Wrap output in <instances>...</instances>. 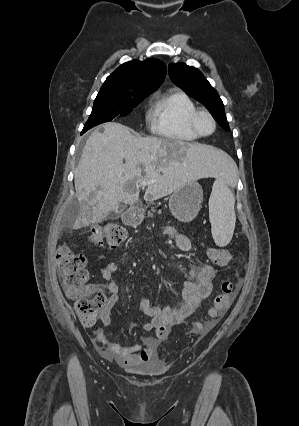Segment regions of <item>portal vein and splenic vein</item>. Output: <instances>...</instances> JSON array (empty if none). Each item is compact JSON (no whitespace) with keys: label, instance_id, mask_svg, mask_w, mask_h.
Instances as JSON below:
<instances>
[{"label":"portal vein and splenic vein","instance_id":"portal-vein-and-splenic-vein-1","mask_svg":"<svg viewBox=\"0 0 299 426\" xmlns=\"http://www.w3.org/2000/svg\"><path fill=\"white\" fill-rule=\"evenodd\" d=\"M149 184H151V182H150V181H141V182H140V186H142V187H145V186H147V185H149Z\"/></svg>","mask_w":299,"mask_h":426}]
</instances>
